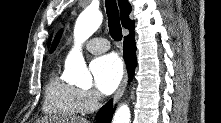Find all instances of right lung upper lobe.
<instances>
[{
  "label": "right lung upper lobe",
  "mask_w": 221,
  "mask_h": 123,
  "mask_svg": "<svg viewBox=\"0 0 221 123\" xmlns=\"http://www.w3.org/2000/svg\"><path fill=\"white\" fill-rule=\"evenodd\" d=\"M118 5L120 8V13H121L122 26L124 28L129 29L130 34H133L134 33V21L129 19V14L131 12V5L129 4L128 0H119Z\"/></svg>",
  "instance_id": "cb5924a9"
}]
</instances>
